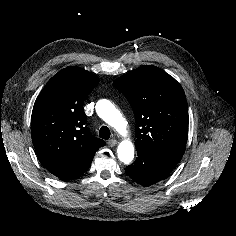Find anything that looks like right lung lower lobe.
<instances>
[{
    "instance_id": "obj_1",
    "label": "right lung lower lobe",
    "mask_w": 236,
    "mask_h": 236,
    "mask_svg": "<svg viewBox=\"0 0 236 236\" xmlns=\"http://www.w3.org/2000/svg\"><path fill=\"white\" fill-rule=\"evenodd\" d=\"M89 167H87V168H85V169H83V170H81L79 172H75V173H71V174H68V175H64V176H61L59 178L62 179V180H65V181L66 180L76 179V178L80 177L85 171H87Z\"/></svg>"
}]
</instances>
